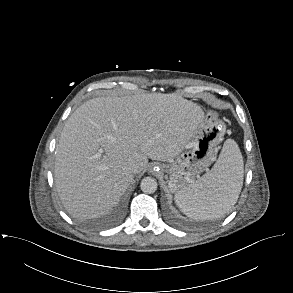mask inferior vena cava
<instances>
[{
	"instance_id": "602c4592",
	"label": "inferior vena cava",
	"mask_w": 293,
	"mask_h": 293,
	"mask_svg": "<svg viewBox=\"0 0 293 293\" xmlns=\"http://www.w3.org/2000/svg\"><path fill=\"white\" fill-rule=\"evenodd\" d=\"M127 170L130 172V173H138L139 171V167L138 165L136 164H130L127 166Z\"/></svg>"
}]
</instances>
